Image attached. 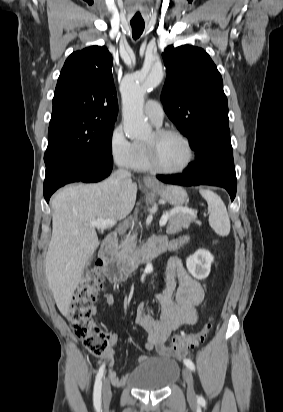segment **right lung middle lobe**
Wrapping results in <instances>:
<instances>
[{
	"mask_svg": "<svg viewBox=\"0 0 283 412\" xmlns=\"http://www.w3.org/2000/svg\"><path fill=\"white\" fill-rule=\"evenodd\" d=\"M114 126H103L95 116L69 112L51 117L48 147L44 155L46 167L62 161L113 162L111 138Z\"/></svg>",
	"mask_w": 283,
	"mask_h": 412,
	"instance_id": "1",
	"label": "right lung middle lobe"
}]
</instances>
